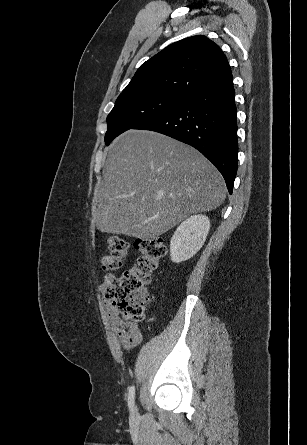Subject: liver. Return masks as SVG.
<instances>
[{
	"label": "liver",
	"mask_w": 307,
	"mask_h": 445,
	"mask_svg": "<svg viewBox=\"0 0 307 445\" xmlns=\"http://www.w3.org/2000/svg\"><path fill=\"white\" fill-rule=\"evenodd\" d=\"M92 216L101 233L143 241L213 210L226 198L224 180L199 150L153 130H126L107 146Z\"/></svg>",
	"instance_id": "6515ba94"
}]
</instances>
